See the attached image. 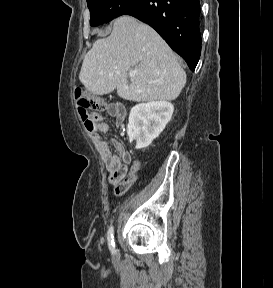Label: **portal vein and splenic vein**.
I'll return each mask as SVG.
<instances>
[{"label":"portal vein and splenic vein","mask_w":273,"mask_h":288,"mask_svg":"<svg viewBox=\"0 0 273 288\" xmlns=\"http://www.w3.org/2000/svg\"><path fill=\"white\" fill-rule=\"evenodd\" d=\"M128 75H129V77H133V76L135 75V72H134V71H130V72L128 73Z\"/></svg>","instance_id":"obj_1"}]
</instances>
